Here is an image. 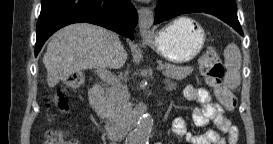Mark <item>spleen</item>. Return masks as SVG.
I'll return each mask as SVG.
<instances>
[{
	"mask_svg": "<svg viewBox=\"0 0 273 144\" xmlns=\"http://www.w3.org/2000/svg\"><path fill=\"white\" fill-rule=\"evenodd\" d=\"M225 67L227 69L224 83L230 89H236L241 83L240 68H241V52L238 46L231 43L224 49Z\"/></svg>",
	"mask_w": 273,
	"mask_h": 144,
	"instance_id": "3e777b00",
	"label": "spleen"
}]
</instances>
